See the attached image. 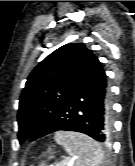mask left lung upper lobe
Instances as JSON below:
<instances>
[{
    "label": "left lung upper lobe",
    "mask_w": 135,
    "mask_h": 166,
    "mask_svg": "<svg viewBox=\"0 0 135 166\" xmlns=\"http://www.w3.org/2000/svg\"><path fill=\"white\" fill-rule=\"evenodd\" d=\"M94 57L84 44H66L48 55L27 78L19 109V129L25 123L47 125L63 110L83 69Z\"/></svg>",
    "instance_id": "5c2ea615"
}]
</instances>
